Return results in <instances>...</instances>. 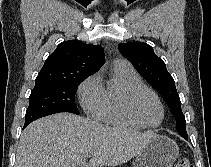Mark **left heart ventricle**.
Masks as SVG:
<instances>
[{
    "mask_svg": "<svg viewBox=\"0 0 211 167\" xmlns=\"http://www.w3.org/2000/svg\"><path fill=\"white\" fill-rule=\"evenodd\" d=\"M133 109L145 124L154 125L160 121V107L156 99L148 92H141L134 98Z\"/></svg>",
    "mask_w": 211,
    "mask_h": 167,
    "instance_id": "left-heart-ventricle-1",
    "label": "left heart ventricle"
}]
</instances>
